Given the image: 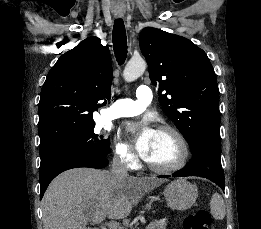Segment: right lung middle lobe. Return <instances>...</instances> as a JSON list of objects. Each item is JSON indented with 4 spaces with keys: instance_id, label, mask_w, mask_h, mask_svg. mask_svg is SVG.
I'll return each instance as SVG.
<instances>
[{
    "instance_id": "dd1d6c3e",
    "label": "right lung middle lobe",
    "mask_w": 261,
    "mask_h": 229,
    "mask_svg": "<svg viewBox=\"0 0 261 229\" xmlns=\"http://www.w3.org/2000/svg\"><path fill=\"white\" fill-rule=\"evenodd\" d=\"M93 128L73 140L40 150L41 164L52 160L75 157H106L110 151V141L103 139V136L96 135Z\"/></svg>"
}]
</instances>
